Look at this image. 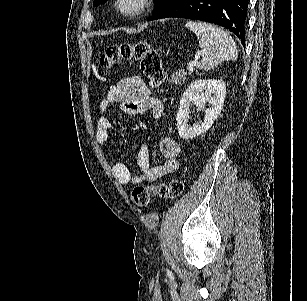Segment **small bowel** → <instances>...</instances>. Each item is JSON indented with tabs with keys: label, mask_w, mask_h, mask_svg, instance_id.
I'll return each mask as SVG.
<instances>
[{
	"label": "small bowel",
	"mask_w": 307,
	"mask_h": 301,
	"mask_svg": "<svg viewBox=\"0 0 307 301\" xmlns=\"http://www.w3.org/2000/svg\"><path fill=\"white\" fill-rule=\"evenodd\" d=\"M112 104H117L129 114H143L151 112L159 118L163 112L162 103L153 98L149 87L140 77H129L108 89L106 97L100 102L101 112H107ZM112 128L111 120L102 116L98 119L96 128V140L99 144L107 146L109 133ZM160 152L163 157L161 164L150 165L149 151L146 145H142L136 155V163L140 172L131 175L128 168L120 162L112 165V173L121 184H139L142 182H154L164 176L175 173L178 170L177 156L179 146L172 138H164L160 142Z\"/></svg>",
	"instance_id": "c3829d8e"
}]
</instances>
